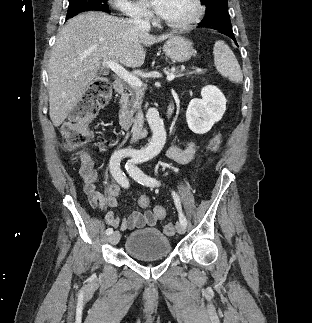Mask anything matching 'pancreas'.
<instances>
[{
  "label": "pancreas",
  "mask_w": 312,
  "mask_h": 323,
  "mask_svg": "<svg viewBox=\"0 0 312 323\" xmlns=\"http://www.w3.org/2000/svg\"><path fill=\"white\" fill-rule=\"evenodd\" d=\"M176 70H178V68H176ZM181 72H184V70H181ZM181 72H175V74H178L176 78H181V76H183ZM189 74H192V72H189ZM127 92H129V94H123L120 104H122V108L128 110L129 114H134V112L138 110L140 104H142L144 90H142V88H135V86H132V88L127 90Z\"/></svg>",
  "instance_id": "obj_1"
}]
</instances>
